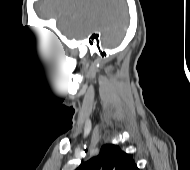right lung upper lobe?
Returning a JSON list of instances; mask_svg holds the SVG:
<instances>
[{"mask_svg":"<svg viewBox=\"0 0 190 170\" xmlns=\"http://www.w3.org/2000/svg\"><path fill=\"white\" fill-rule=\"evenodd\" d=\"M76 170H139L130 154L117 145H103L98 156L83 162Z\"/></svg>","mask_w":190,"mask_h":170,"instance_id":"obj_1","label":"right lung upper lobe"}]
</instances>
